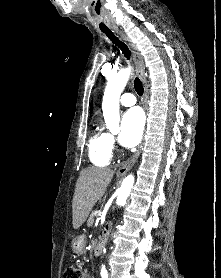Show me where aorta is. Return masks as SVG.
Here are the masks:
<instances>
[{
	"mask_svg": "<svg viewBox=\"0 0 221 278\" xmlns=\"http://www.w3.org/2000/svg\"><path fill=\"white\" fill-rule=\"evenodd\" d=\"M130 74L131 69L124 68L108 78L102 102L103 116L108 127L112 126L113 120L119 119V99L129 80ZM134 181L135 179L132 174L128 175L123 180L117 192L116 204L118 206H122L126 203L134 185Z\"/></svg>",
	"mask_w": 221,
	"mask_h": 278,
	"instance_id": "762f6f07",
	"label": "aorta"
}]
</instances>
